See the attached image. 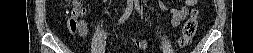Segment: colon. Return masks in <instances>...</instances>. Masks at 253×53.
<instances>
[{"label": "colon", "mask_w": 253, "mask_h": 53, "mask_svg": "<svg viewBox=\"0 0 253 53\" xmlns=\"http://www.w3.org/2000/svg\"><path fill=\"white\" fill-rule=\"evenodd\" d=\"M78 3L81 4V1H74L73 6L68 11V28L73 32L78 30L81 19L86 12L82 4L79 5ZM198 14L199 10L197 8L192 9L190 18L185 22L182 34L178 40L180 47L187 46L191 39L194 37L198 27ZM134 45L138 49H144L146 47V42L142 40H135Z\"/></svg>", "instance_id": "obj_1"}]
</instances>
